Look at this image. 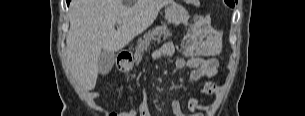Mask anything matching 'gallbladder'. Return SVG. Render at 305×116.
I'll return each instance as SVG.
<instances>
[{
	"mask_svg": "<svg viewBox=\"0 0 305 116\" xmlns=\"http://www.w3.org/2000/svg\"><path fill=\"white\" fill-rule=\"evenodd\" d=\"M115 54L109 51H103L98 60L99 72L103 75L108 74L113 68Z\"/></svg>",
	"mask_w": 305,
	"mask_h": 116,
	"instance_id": "1",
	"label": "gallbladder"
}]
</instances>
